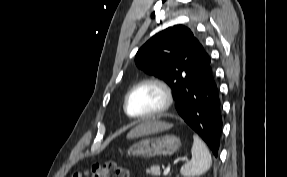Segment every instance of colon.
Returning <instances> with one entry per match:
<instances>
[{
	"label": "colon",
	"mask_w": 287,
	"mask_h": 177,
	"mask_svg": "<svg viewBox=\"0 0 287 177\" xmlns=\"http://www.w3.org/2000/svg\"><path fill=\"white\" fill-rule=\"evenodd\" d=\"M73 177H132L129 170L116 162L108 161L94 164L89 170L77 171Z\"/></svg>",
	"instance_id": "obj_1"
}]
</instances>
